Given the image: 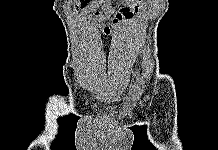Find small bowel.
<instances>
[{
	"mask_svg": "<svg viewBox=\"0 0 218 150\" xmlns=\"http://www.w3.org/2000/svg\"><path fill=\"white\" fill-rule=\"evenodd\" d=\"M125 4L117 8L113 7V0H85L79 5L80 10L88 15V20L92 22L96 29H100L105 34L120 30L123 24L132 21L134 16L139 14L147 6L148 0H124ZM109 20L105 25H97L102 21Z\"/></svg>",
	"mask_w": 218,
	"mask_h": 150,
	"instance_id": "small-bowel-1",
	"label": "small bowel"
}]
</instances>
